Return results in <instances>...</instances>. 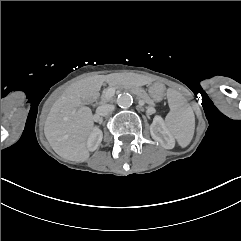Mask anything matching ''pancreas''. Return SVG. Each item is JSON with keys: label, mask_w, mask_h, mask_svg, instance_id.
Listing matches in <instances>:
<instances>
[{"label": "pancreas", "mask_w": 241, "mask_h": 241, "mask_svg": "<svg viewBox=\"0 0 241 241\" xmlns=\"http://www.w3.org/2000/svg\"><path fill=\"white\" fill-rule=\"evenodd\" d=\"M134 94H136V96L141 97L143 101L148 104V108L150 110H153L155 108V105L153 104V99H151V96H148V93H145L141 89H134ZM111 101H113V97H110L109 95H107V90H104L101 95V102L107 103Z\"/></svg>", "instance_id": "obj_1"}]
</instances>
